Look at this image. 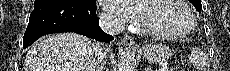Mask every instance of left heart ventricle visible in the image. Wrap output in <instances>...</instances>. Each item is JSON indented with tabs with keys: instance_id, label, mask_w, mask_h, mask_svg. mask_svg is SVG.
<instances>
[{
	"instance_id": "1",
	"label": "left heart ventricle",
	"mask_w": 230,
	"mask_h": 71,
	"mask_svg": "<svg viewBox=\"0 0 230 71\" xmlns=\"http://www.w3.org/2000/svg\"><path fill=\"white\" fill-rule=\"evenodd\" d=\"M143 22L150 28L166 33H179L189 25L186 11L174 0L142 1Z\"/></svg>"
}]
</instances>
